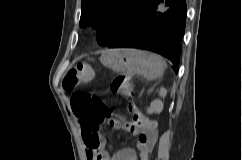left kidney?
<instances>
[{"label": "left kidney", "mask_w": 242, "mask_h": 160, "mask_svg": "<svg viewBox=\"0 0 242 160\" xmlns=\"http://www.w3.org/2000/svg\"><path fill=\"white\" fill-rule=\"evenodd\" d=\"M163 109V103L161 101H153L151 103V108L149 109V112L152 113L153 111L161 112Z\"/></svg>", "instance_id": "1"}]
</instances>
